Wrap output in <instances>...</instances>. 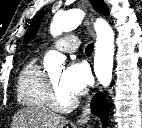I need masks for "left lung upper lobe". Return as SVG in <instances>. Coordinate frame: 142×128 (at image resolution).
Wrapping results in <instances>:
<instances>
[{"mask_svg":"<svg viewBox=\"0 0 142 128\" xmlns=\"http://www.w3.org/2000/svg\"><path fill=\"white\" fill-rule=\"evenodd\" d=\"M91 3L98 12H100L103 15H108V9L106 4L103 2V0H91ZM43 15H44L43 11H40L35 15L25 35L24 43H27L28 41L34 38L38 30V27L43 19Z\"/></svg>","mask_w":142,"mask_h":128,"instance_id":"1","label":"left lung upper lobe"}]
</instances>
